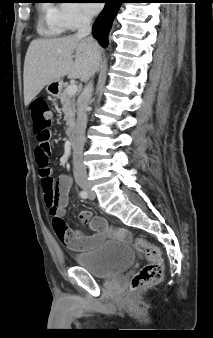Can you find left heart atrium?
<instances>
[{
  "mask_svg": "<svg viewBox=\"0 0 213 338\" xmlns=\"http://www.w3.org/2000/svg\"><path fill=\"white\" fill-rule=\"evenodd\" d=\"M89 1H94V0H89ZM85 7L89 11V13L95 14L100 10L101 5L100 3H85Z\"/></svg>",
  "mask_w": 213,
  "mask_h": 338,
  "instance_id": "39dd6f15",
  "label": "left heart atrium"
}]
</instances>
